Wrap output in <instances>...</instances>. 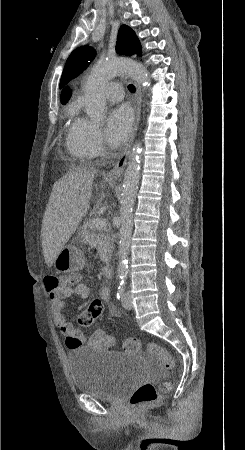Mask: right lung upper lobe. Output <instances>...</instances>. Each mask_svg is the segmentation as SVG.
Masks as SVG:
<instances>
[{"instance_id": "1", "label": "right lung upper lobe", "mask_w": 245, "mask_h": 450, "mask_svg": "<svg viewBox=\"0 0 245 450\" xmlns=\"http://www.w3.org/2000/svg\"><path fill=\"white\" fill-rule=\"evenodd\" d=\"M71 96V91L69 88H65L61 94V103L65 104Z\"/></svg>"}]
</instances>
